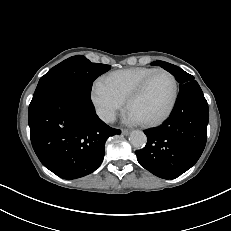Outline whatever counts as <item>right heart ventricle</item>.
Instances as JSON below:
<instances>
[{
	"mask_svg": "<svg viewBox=\"0 0 231 231\" xmlns=\"http://www.w3.org/2000/svg\"><path fill=\"white\" fill-rule=\"evenodd\" d=\"M154 70L149 67L117 70L103 77L100 82L112 94L125 102L129 94Z\"/></svg>",
	"mask_w": 231,
	"mask_h": 231,
	"instance_id": "obj_1",
	"label": "right heart ventricle"
}]
</instances>
